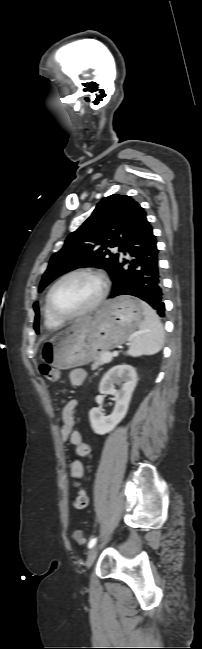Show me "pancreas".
I'll use <instances>...</instances> for the list:
<instances>
[{"label": "pancreas", "mask_w": 202, "mask_h": 649, "mask_svg": "<svg viewBox=\"0 0 202 649\" xmlns=\"http://www.w3.org/2000/svg\"><path fill=\"white\" fill-rule=\"evenodd\" d=\"M102 353H103V352H100V353H99V355H98V356L96 357V359L94 360V363L91 365L92 370H95V369H97L99 366H101V365L104 364V362H103L102 359H101V354H102Z\"/></svg>", "instance_id": "pancreas-1"}]
</instances>
